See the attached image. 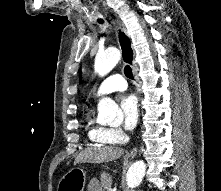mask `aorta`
Listing matches in <instances>:
<instances>
[{"label":"aorta","instance_id":"obj_1","mask_svg":"<svg viewBox=\"0 0 221 191\" xmlns=\"http://www.w3.org/2000/svg\"><path fill=\"white\" fill-rule=\"evenodd\" d=\"M120 60L117 48L110 47L99 52L95 57L94 69L100 75L108 74ZM99 119L105 123H114L122 119V111L110 98H103L98 103ZM146 171V164L139 160L134 162L128 169L126 180L130 188H135L142 182Z\"/></svg>","mask_w":221,"mask_h":191}]
</instances>
